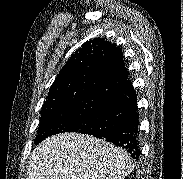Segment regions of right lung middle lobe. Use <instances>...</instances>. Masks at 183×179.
Segmentation results:
<instances>
[{
    "mask_svg": "<svg viewBox=\"0 0 183 179\" xmlns=\"http://www.w3.org/2000/svg\"><path fill=\"white\" fill-rule=\"evenodd\" d=\"M104 95H88L42 106L35 144L63 132H77L94 118L103 104Z\"/></svg>",
    "mask_w": 183,
    "mask_h": 179,
    "instance_id": "right-lung-middle-lobe-1",
    "label": "right lung middle lobe"
}]
</instances>
